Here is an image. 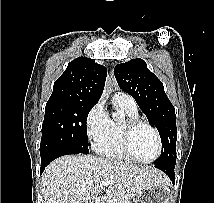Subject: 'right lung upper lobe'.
I'll list each match as a JSON object with an SVG mask.
<instances>
[{
	"mask_svg": "<svg viewBox=\"0 0 214 203\" xmlns=\"http://www.w3.org/2000/svg\"><path fill=\"white\" fill-rule=\"evenodd\" d=\"M107 68L87 57L71 61L55 81L48 101H74L96 104L100 99Z\"/></svg>",
	"mask_w": 214,
	"mask_h": 203,
	"instance_id": "obj_1",
	"label": "right lung upper lobe"
}]
</instances>
